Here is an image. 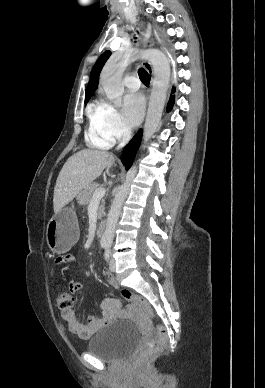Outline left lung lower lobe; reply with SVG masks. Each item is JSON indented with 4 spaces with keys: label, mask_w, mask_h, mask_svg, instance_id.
I'll return each instance as SVG.
<instances>
[{
    "label": "left lung lower lobe",
    "mask_w": 265,
    "mask_h": 388,
    "mask_svg": "<svg viewBox=\"0 0 265 388\" xmlns=\"http://www.w3.org/2000/svg\"><path fill=\"white\" fill-rule=\"evenodd\" d=\"M174 93H175V87H173V89H172V93H171V96H170V100H169V102H168V104H167V112H169V111L172 109L173 104H174V102H175V97H174V95H172V94H174Z\"/></svg>",
    "instance_id": "0a47b994"
}]
</instances>
